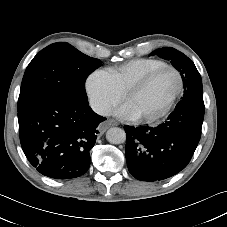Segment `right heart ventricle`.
Segmentation results:
<instances>
[{"label": "right heart ventricle", "instance_id": "e07e8e85", "mask_svg": "<svg viewBox=\"0 0 227 227\" xmlns=\"http://www.w3.org/2000/svg\"><path fill=\"white\" fill-rule=\"evenodd\" d=\"M167 65L166 62L155 58L133 59L105 71L115 83L121 94L141 80L150 72Z\"/></svg>", "mask_w": 227, "mask_h": 227}]
</instances>
